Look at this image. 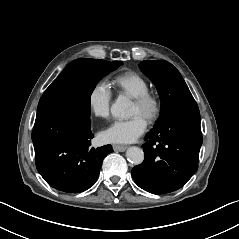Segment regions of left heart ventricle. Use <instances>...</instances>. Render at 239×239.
<instances>
[{"label":"left heart ventricle","instance_id":"1","mask_svg":"<svg viewBox=\"0 0 239 239\" xmlns=\"http://www.w3.org/2000/svg\"><path fill=\"white\" fill-rule=\"evenodd\" d=\"M137 113L143 115L146 118V115L143 112V110L141 109V107L133 101L132 107H131V115L132 114H137Z\"/></svg>","mask_w":239,"mask_h":239}]
</instances>
